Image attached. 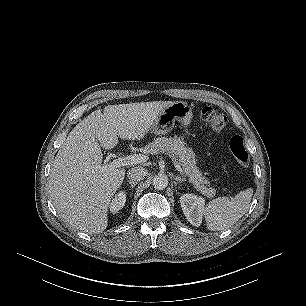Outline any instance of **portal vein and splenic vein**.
<instances>
[{
    "label": "portal vein and splenic vein",
    "mask_w": 306,
    "mask_h": 306,
    "mask_svg": "<svg viewBox=\"0 0 306 306\" xmlns=\"http://www.w3.org/2000/svg\"><path fill=\"white\" fill-rule=\"evenodd\" d=\"M172 161L176 169L183 175V170L180 164L177 162L175 157L171 156ZM149 159L148 155L145 154H133L126 157H118L117 159L113 160L112 163L109 164L110 168H119L122 166H128L133 164H139L146 162Z\"/></svg>",
    "instance_id": "18ae733b"
}]
</instances>
